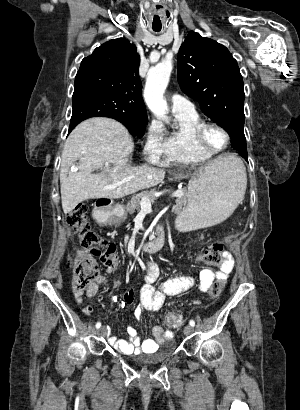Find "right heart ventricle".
I'll list each match as a JSON object with an SVG mask.
<instances>
[{"mask_svg": "<svg viewBox=\"0 0 300 410\" xmlns=\"http://www.w3.org/2000/svg\"><path fill=\"white\" fill-rule=\"evenodd\" d=\"M175 127L165 135L161 162L164 164L193 165L208 161L212 154L200 149L195 132L203 122L196 112H174Z\"/></svg>", "mask_w": 300, "mask_h": 410, "instance_id": "right-heart-ventricle-1", "label": "right heart ventricle"}]
</instances>
